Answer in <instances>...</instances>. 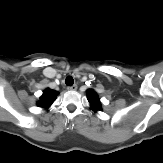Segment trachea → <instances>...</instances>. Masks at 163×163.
Segmentation results:
<instances>
[{
	"label": "trachea",
	"instance_id": "trachea-1",
	"mask_svg": "<svg viewBox=\"0 0 163 163\" xmlns=\"http://www.w3.org/2000/svg\"><path fill=\"white\" fill-rule=\"evenodd\" d=\"M65 83L67 86H72L73 83H74V80L71 76H67L66 79H65Z\"/></svg>",
	"mask_w": 163,
	"mask_h": 163
}]
</instances>
